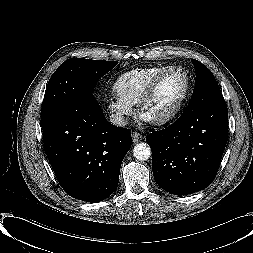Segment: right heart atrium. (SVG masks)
<instances>
[{
  "label": "right heart atrium",
  "instance_id": "d8ad5b80",
  "mask_svg": "<svg viewBox=\"0 0 253 253\" xmlns=\"http://www.w3.org/2000/svg\"><path fill=\"white\" fill-rule=\"evenodd\" d=\"M107 103L110 112L120 121H123L132 113V106L119 97H110Z\"/></svg>",
  "mask_w": 253,
  "mask_h": 253
}]
</instances>
